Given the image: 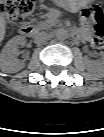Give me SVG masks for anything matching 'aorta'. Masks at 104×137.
<instances>
[{"instance_id":"obj_1","label":"aorta","mask_w":104,"mask_h":137,"mask_svg":"<svg viewBox=\"0 0 104 137\" xmlns=\"http://www.w3.org/2000/svg\"><path fill=\"white\" fill-rule=\"evenodd\" d=\"M56 36L58 39L63 40L69 36V33L66 30L59 29L56 31Z\"/></svg>"}]
</instances>
